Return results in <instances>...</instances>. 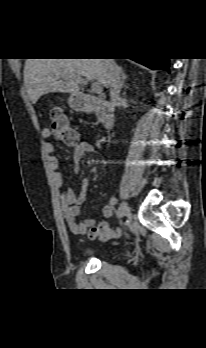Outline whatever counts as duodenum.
Listing matches in <instances>:
<instances>
[{"label":"duodenum","mask_w":206,"mask_h":348,"mask_svg":"<svg viewBox=\"0 0 206 348\" xmlns=\"http://www.w3.org/2000/svg\"><path fill=\"white\" fill-rule=\"evenodd\" d=\"M78 105L82 111H95L99 114L101 124L104 128L113 127L115 113L112 104L103 98L90 95H78Z\"/></svg>","instance_id":"1"}]
</instances>
